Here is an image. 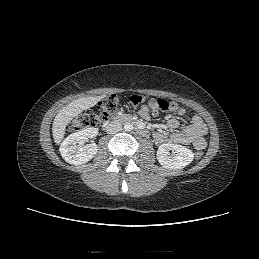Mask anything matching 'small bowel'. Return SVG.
Segmentation results:
<instances>
[{"label": "small bowel", "mask_w": 259, "mask_h": 259, "mask_svg": "<svg viewBox=\"0 0 259 259\" xmlns=\"http://www.w3.org/2000/svg\"><path fill=\"white\" fill-rule=\"evenodd\" d=\"M185 122V126L182 131H176L180 122L176 118H171L167 122V128L171 131L170 134L163 132L162 130H156L153 134L155 142L159 145L172 142L182 145H193L196 149L201 150L206 147L205 136L207 134V126L200 116L194 115L188 116L183 108H179L177 111ZM141 117L150 119L155 111L143 107L139 111Z\"/></svg>", "instance_id": "1"}]
</instances>
